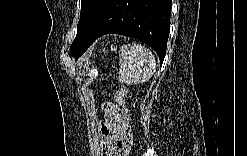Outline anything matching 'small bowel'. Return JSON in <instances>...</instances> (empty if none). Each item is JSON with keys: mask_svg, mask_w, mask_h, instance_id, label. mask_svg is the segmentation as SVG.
Instances as JSON below:
<instances>
[{"mask_svg": "<svg viewBox=\"0 0 247 156\" xmlns=\"http://www.w3.org/2000/svg\"><path fill=\"white\" fill-rule=\"evenodd\" d=\"M103 110L105 116L100 124V135L104 147L110 155H122L131 146V128L122 120V116L118 112L115 102L104 103Z\"/></svg>", "mask_w": 247, "mask_h": 156, "instance_id": "1", "label": "small bowel"}]
</instances>
